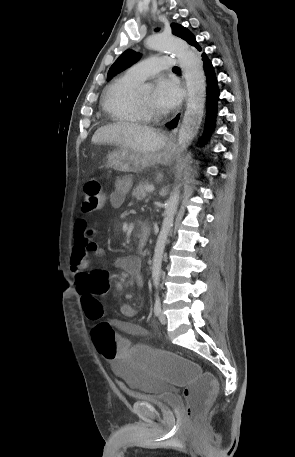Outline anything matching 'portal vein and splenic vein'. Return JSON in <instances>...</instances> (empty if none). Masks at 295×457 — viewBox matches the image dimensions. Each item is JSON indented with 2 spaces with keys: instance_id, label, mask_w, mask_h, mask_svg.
Masks as SVG:
<instances>
[{
  "instance_id": "1",
  "label": "portal vein and splenic vein",
  "mask_w": 295,
  "mask_h": 457,
  "mask_svg": "<svg viewBox=\"0 0 295 457\" xmlns=\"http://www.w3.org/2000/svg\"><path fill=\"white\" fill-rule=\"evenodd\" d=\"M154 190V186L153 185H149L146 187V191L147 192H152Z\"/></svg>"
}]
</instances>
